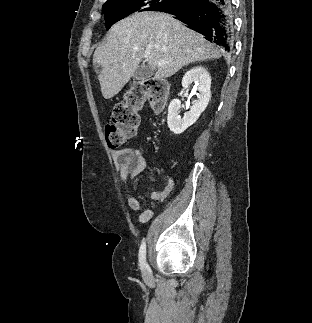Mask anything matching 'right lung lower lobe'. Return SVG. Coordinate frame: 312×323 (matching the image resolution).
Wrapping results in <instances>:
<instances>
[{
	"label": "right lung lower lobe",
	"mask_w": 312,
	"mask_h": 323,
	"mask_svg": "<svg viewBox=\"0 0 312 323\" xmlns=\"http://www.w3.org/2000/svg\"><path fill=\"white\" fill-rule=\"evenodd\" d=\"M231 10L230 0H184L162 11L174 15L206 40L230 52L233 49Z\"/></svg>",
	"instance_id": "right-lung-lower-lobe-1"
}]
</instances>
